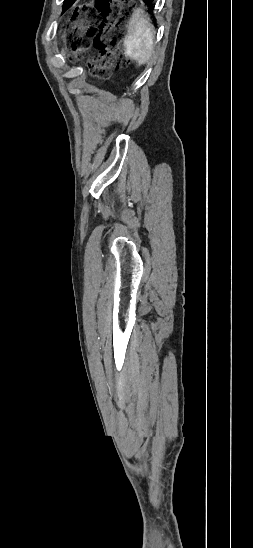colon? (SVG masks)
Masks as SVG:
<instances>
[{"label":"colon","mask_w":253,"mask_h":548,"mask_svg":"<svg viewBox=\"0 0 253 548\" xmlns=\"http://www.w3.org/2000/svg\"><path fill=\"white\" fill-rule=\"evenodd\" d=\"M134 8L132 0H91L76 8L68 49L73 58H79L94 45L99 51L90 64L94 77L107 79L113 70L129 64L120 43Z\"/></svg>","instance_id":"5ec220e1"}]
</instances>
